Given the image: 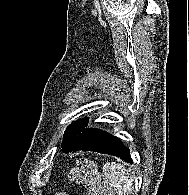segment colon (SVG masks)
I'll return each mask as SVG.
<instances>
[{"mask_svg": "<svg viewBox=\"0 0 189 195\" xmlns=\"http://www.w3.org/2000/svg\"><path fill=\"white\" fill-rule=\"evenodd\" d=\"M69 176L74 182L87 185L88 195H109L107 179L94 172V168L87 158L76 161L70 169ZM58 195L63 194L60 193Z\"/></svg>", "mask_w": 189, "mask_h": 195, "instance_id": "1", "label": "colon"}]
</instances>
